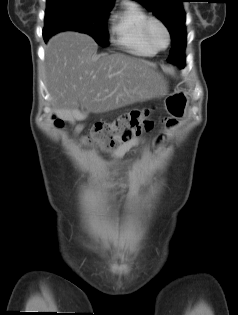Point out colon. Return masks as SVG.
<instances>
[{
  "mask_svg": "<svg viewBox=\"0 0 238 315\" xmlns=\"http://www.w3.org/2000/svg\"><path fill=\"white\" fill-rule=\"evenodd\" d=\"M55 124L62 126V121L55 120ZM153 125L149 110H134L119 116L112 122L96 123L84 142L87 145L109 149L138 137L142 132L150 131Z\"/></svg>",
  "mask_w": 238,
  "mask_h": 315,
  "instance_id": "1",
  "label": "colon"
}]
</instances>
